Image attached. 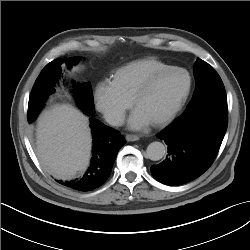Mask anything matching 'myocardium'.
Returning a JSON list of instances; mask_svg holds the SVG:
<instances>
[{
    "label": "myocardium",
    "instance_id": "obj_1",
    "mask_svg": "<svg viewBox=\"0 0 250 250\" xmlns=\"http://www.w3.org/2000/svg\"><path fill=\"white\" fill-rule=\"evenodd\" d=\"M173 71H180V72H184L187 76L188 79V83H187V87L183 93V95L181 96V98L178 100V102L175 104V106L162 118L158 119L155 122H152V125L155 127H162L166 124H168L171 120L174 119V117L180 112V110L183 108V106L185 105L186 101L189 98V95L191 93V89H192V76L190 74V72L183 68V67H179V66H169L166 67L164 69H161L155 73H153L152 75H150L146 81L139 87V89L136 91L134 97H133V104L134 106L137 105L138 101L144 97L155 85V83L157 82V80L159 78H161L163 75L169 73V72H173Z\"/></svg>",
    "mask_w": 250,
    "mask_h": 250
}]
</instances>
